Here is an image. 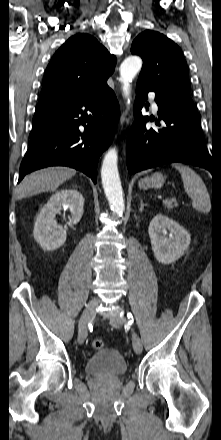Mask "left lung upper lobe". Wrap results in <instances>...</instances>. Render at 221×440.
I'll list each match as a JSON object with an SVG mask.
<instances>
[{"label":"left lung upper lobe","instance_id":"1","mask_svg":"<svg viewBox=\"0 0 221 440\" xmlns=\"http://www.w3.org/2000/svg\"><path fill=\"white\" fill-rule=\"evenodd\" d=\"M131 53L143 60L138 81L149 84L163 96L194 107L189 95L187 64L181 49L172 40L159 32L147 30L133 41Z\"/></svg>","mask_w":221,"mask_h":440}]
</instances>
